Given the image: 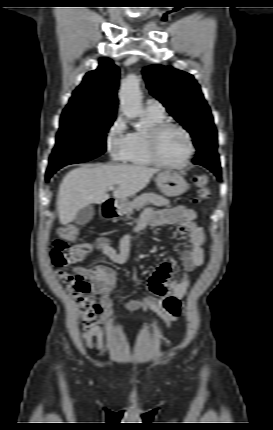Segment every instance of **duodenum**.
<instances>
[{
  "mask_svg": "<svg viewBox=\"0 0 273 430\" xmlns=\"http://www.w3.org/2000/svg\"><path fill=\"white\" fill-rule=\"evenodd\" d=\"M103 214L106 218H112V217L116 216V208L114 207L113 204H108L104 208Z\"/></svg>",
  "mask_w": 273,
  "mask_h": 430,
  "instance_id": "1",
  "label": "duodenum"
}]
</instances>
